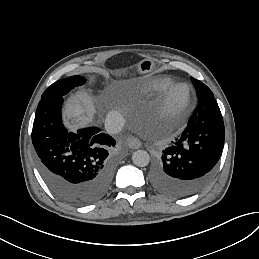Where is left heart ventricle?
Returning a JSON list of instances; mask_svg holds the SVG:
<instances>
[{
  "mask_svg": "<svg viewBox=\"0 0 259 259\" xmlns=\"http://www.w3.org/2000/svg\"><path fill=\"white\" fill-rule=\"evenodd\" d=\"M148 86L153 87L161 94L158 104L166 107L172 113H179L189 102L190 92L187 85L181 81L151 82Z\"/></svg>",
  "mask_w": 259,
  "mask_h": 259,
  "instance_id": "left-heart-ventricle-1",
  "label": "left heart ventricle"
}]
</instances>
